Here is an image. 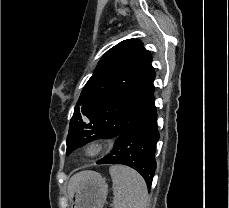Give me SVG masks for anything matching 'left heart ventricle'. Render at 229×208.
<instances>
[{"label": "left heart ventricle", "mask_w": 229, "mask_h": 208, "mask_svg": "<svg viewBox=\"0 0 229 208\" xmlns=\"http://www.w3.org/2000/svg\"><path fill=\"white\" fill-rule=\"evenodd\" d=\"M105 147V146H104ZM104 147H89L87 152L89 154H94V153H97L99 152L100 150H102Z\"/></svg>", "instance_id": "1"}]
</instances>
